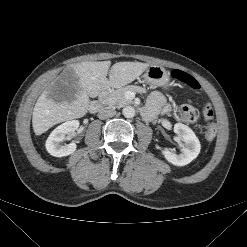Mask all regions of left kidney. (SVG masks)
Instances as JSON below:
<instances>
[{
    "label": "left kidney",
    "instance_id": "left-kidney-1",
    "mask_svg": "<svg viewBox=\"0 0 247 247\" xmlns=\"http://www.w3.org/2000/svg\"><path fill=\"white\" fill-rule=\"evenodd\" d=\"M174 132L184 142L181 153L176 154L168 149L162 150V154L168 162L175 166H184L192 162L200 153L201 145L195 133L186 125L176 123Z\"/></svg>",
    "mask_w": 247,
    "mask_h": 247
}]
</instances>
